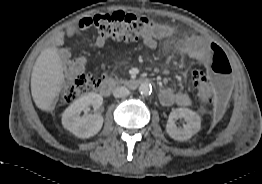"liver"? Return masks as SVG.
Segmentation results:
<instances>
[{
  "mask_svg": "<svg viewBox=\"0 0 262 184\" xmlns=\"http://www.w3.org/2000/svg\"><path fill=\"white\" fill-rule=\"evenodd\" d=\"M65 77L61 58L55 47L44 49L34 64L31 74V93L36 106L42 111L53 110Z\"/></svg>",
  "mask_w": 262,
  "mask_h": 184,
  "instance_id": "1",
  "label": "liver"
}]
</instances>
